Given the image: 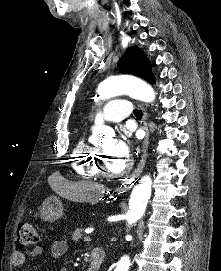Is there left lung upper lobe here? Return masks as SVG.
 <instances>
[{
  "instance_id": "5c2ea615",
  "label": "left lung upper lobe",
  "mask_w": 221,
  "mask_h": 271,
  "mask_svg": "<svg viewBox=\"0 0 221 271\" xmlns=\"http://www.w3.org/2000/svg\"><path fill=\"white\" fill-rule=\"evenodd\" d=\"M119 71L141 77L150 84L155 83V77L151 71V64L145 53L137 46L127 49L119 61Z\"/></svg>"
}]
</instances>
